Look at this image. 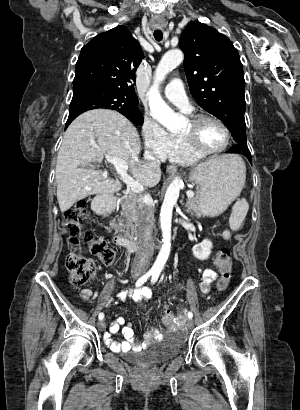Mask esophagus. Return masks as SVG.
I'll list each match as a JSON object with an SVG mask.
<instances>
[{
    "mask_svg": "<svg viewBox=\"0 0 300 410\" xmlns=\"http://www.w3.org/2000/svg\"><path fill=\"white\" fill-rule=\"evenodd\" d=\"M166 171L168 173H176L177 172V167L174 165H168L166 168Z\"/></svg>",
    "mask_w": 300,
    "mask_h": 410,
    "instance_id": "1",
    "label": "esophagus"
}]
</instances>
